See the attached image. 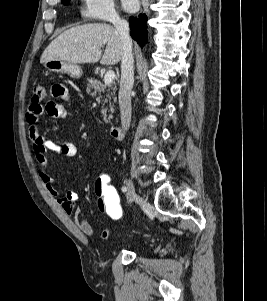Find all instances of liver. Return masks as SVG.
Listing matches in <instances>:
<instances>
[{"label": "liver", "mask_w": 267, "mask_h": 301, "mask_svg": "<svg viewBox=\"0 0 267 301\" xmlns=\"http://www.w3.org/2000/svg\"><path fill=\"white\" fill-rule=\"evenodd\" d=\"M106 45L102 55L101 48ZM123 54L120 36L109 24H85L64 31L44 50L40 63L50 60L67 61L73 64H117Z\"/></svg>", "instance_id": "obj_1"}]
</instances>
